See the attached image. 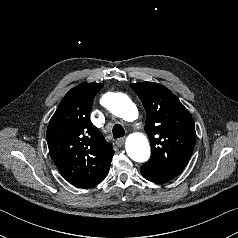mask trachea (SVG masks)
<instances>
[{
	"instance_id": "3493384b",
	"label": "trachea",
	"mask_w": 238,
	"mask_h": 238,
	"mask_svg": "<svg viewBox=\"0 0 238 238\" xmlns=\"http://www.w3.org/2000/svg\"><path fill=\"white\" fill-rule=\"evenodd\" d=\"M112 132L114 138L123 137L125 134L124 128L120 124L114 125Z\"/></svg>"
}]
</instances>
